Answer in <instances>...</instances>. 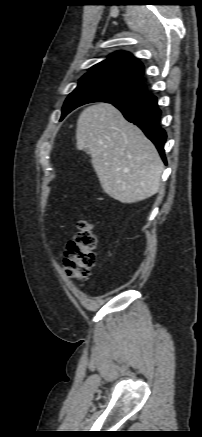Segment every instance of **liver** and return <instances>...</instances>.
Wrapping results in <instances>:
<instances>
[{"instance_id":"6515ba94","label":"liver","mask_w":202,"mask_h":437,"mask_svg":"<svg viewBox=\"0 0 202 437\" xmlns=\"http://www.w3.org/2000/svg\"><path fill=\"white\" fill-rule=\"evenodd\" d=\"M76 146L89 149L106 194L125 204L158 192L163 162L154 144L109 103L85 108L78 120Z\"/></svg>"}]
</instances>
